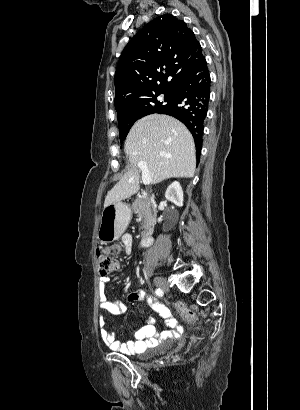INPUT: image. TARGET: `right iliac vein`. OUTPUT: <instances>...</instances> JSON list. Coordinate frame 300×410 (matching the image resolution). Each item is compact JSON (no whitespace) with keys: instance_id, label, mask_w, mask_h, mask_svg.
Segmentation results:
<instances>
[{"instance_id":"1","label":"right iliac vein","mask_w":300,"mask_h":410,"mask_svg":"<svg viewBox=\"0 0 300 410\" xmlns=\"http://www.w3.org/2000/svg\"><path fill=\"white\" fill-rule=\"evenodd\" d=\"M154 284L159 287L162 290H168L169 286L168 283L166 282V280L164 278L161 277H155L153 279Z\"/></svg>"}]
</instances>
